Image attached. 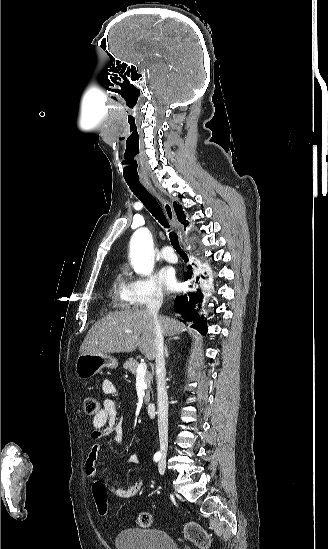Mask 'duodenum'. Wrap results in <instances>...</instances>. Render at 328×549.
I'll return each mask as SVG.
<instances>
[{
	"mask_svg": "<svg viewBox=\"0 0 328 549\" xmlns=\"http://www.w3.org/2000/svg\"><path fill=\"white\" fill-rule=\"evenodd\" d=\"M146 411L150 417H155L157 413V407L154 403L150 402L146 405Z\"/></svg>",
	"mask_w": 328,
	"mask_h": 549,
	"instance_id": "duodenum-1",
	"label": "duodenum"
}]
</instances>
